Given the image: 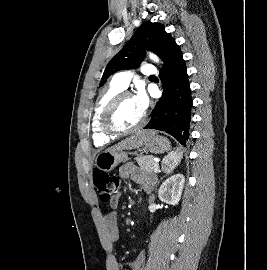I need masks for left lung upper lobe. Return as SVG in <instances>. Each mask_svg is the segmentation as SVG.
Segmentation results:
<instances>
[{"mask_svg":"<svg viewBox=\"0 0 267 270\" xmlns=\"http://www.w3.org/2000/svg\"><path fill=\"white\" fill-rule=\"evenodd\" d=\"M175 40L165 31L160 23H144L126 43V45L110 60L103 73L100 86L116 71L137 68L143 61L145 50H151L165 61Z\"/></svg>","mask_w":267,"mask_h":270,"instance_id":"left-lung-upper-lobe-1","label":"left lung upper lobe"}]
</instances>
